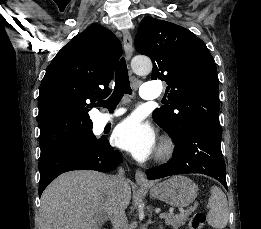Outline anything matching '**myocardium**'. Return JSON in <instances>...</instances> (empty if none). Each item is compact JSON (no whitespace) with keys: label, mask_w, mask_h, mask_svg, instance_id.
I'll list each match as a JSON object with an SVG mask.
<instances>
[{"label":"myocardium","mask_w":261,"mask_h":229,"mask_svg":"<svg viewBox=\"0 0 261 229\" xmlns=\"http://www.w3.org/2000/svg\"><path fill=\"white\" fill-rule=\"evenodd\" d=\"M173 153H174L173 141L170 138L165 137L163 138L158 148V151L156 153V160L158 162H165L172 157Z\"/></svg>","instance_id":"1"}]
</instances>
